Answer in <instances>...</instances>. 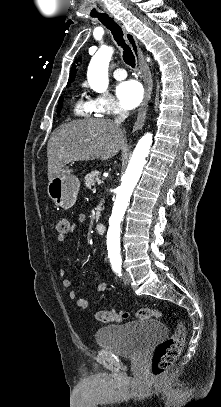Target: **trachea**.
Instances as JSON below:
<instances>
[{
  "mask_svg": "<svg viewBox=\"0 0 221 407\" xmlns=\"http://www.w3.org/2000/svg\"><path fill=\"white\" fill-rule=\"evenodd\" d=\"M95 18H98L99 21L105 25L112 33L114 40L117 42V44L122 47L123 49V59L126 64H128L131 67H135V56L133 52L131 51V48L125 43V40L123 38V31L121 27L107 14H99L94 16Z\"/></svg>",
  "mask_w": 221,
  "mask_h": 407,
  "instance_id": "3493384b",
  "label": "trachea"
}]
</instances>
